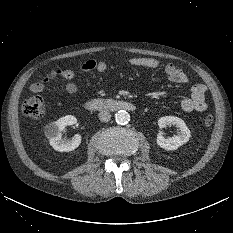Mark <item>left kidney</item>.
Wrapping results in <instances>:
<instances>
[{"mask_svg": "<svg viewBox=\"0 0 233 233\" xmlns=\"http://www.w3.org/2000/svg\"><path fill=\"white\" fill-rule=\"evenodd\" d=\"M158 125L160 129L168 125H175L178 128V134L169 138H165L161 131L158 133L156 140L161 148L167 151L176 150L189 141L190 130L182 119L175 116H164L158 120Z\"/></svg>", "mask_w": 233, "mask_h": 233, "instance_id": "5707ae66", "label": "left kidney"}]
</instances>
